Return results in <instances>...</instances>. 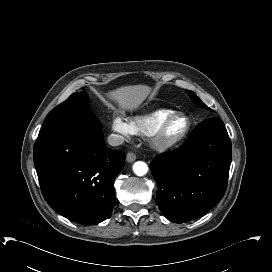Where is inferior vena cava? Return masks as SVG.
<instances>
[{"label": "inferior vena cava", "instance_id": "inferior-vena-cava-1", "mask_svg": "<svg viewBox=\"0 0 272 272\" xmlns=\"http://www.w3.org/2000/svg\"><path fill=\"white\" fill-rule=\"evenodd\" d=\"M107 142L111 146H119L124 143V138L118 134H111L108 136Z\"/></svg>", "mask_w": 272, "mask_h": 272}]
</instances>
